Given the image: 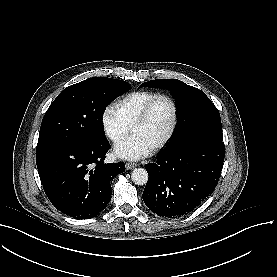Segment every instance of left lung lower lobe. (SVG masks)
Here are the masks:
<instances>
[{
  "label": "left lung lower lobe",
  "mask_w": 277,
  "mask_h": 277,
  "mask_svg": "<svg viewBox=\"0 0 277 277\" xmlns=\"http://www.w3.org/2000/svg\"><path fill=\"white\" fill-rule=\"evenodd\" d=\"M222 140V133L203 130L172 149L160 152L155 163L146 164L149 178L142 197L147 207L159 216L176 218L204 201L218 183L204 179L220 176L223 164L204 161L201 153L210 149L225 153ZM185 159L197 161V172L207 175L191 177L182 173L179 162Z\"/></svg>",
  "instance_id": "0a47b994"
}]
</instances>
